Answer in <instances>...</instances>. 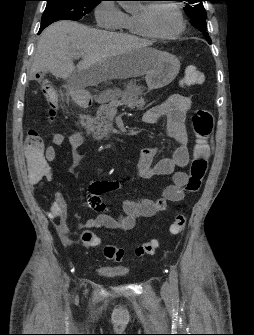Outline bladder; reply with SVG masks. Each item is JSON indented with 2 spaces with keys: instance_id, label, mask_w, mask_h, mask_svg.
<instances>
[{
  "instance_id": "obj_1",
  "label": "bladder",
  "mask_w": 254,
  "mask_h": 335,
  "mask_svg": "<svg viewBox=\"0 0 254 335\" xmlns=\"http://www.w3.org/2000/svg\"><path fill=\"white\" fill-rule=\"evenodd\" d=\"M97 271L108 277H124L128 274V271L123 268H115V267H106V266H101L97 269Z\"/></svg>"
}]
</instances>
